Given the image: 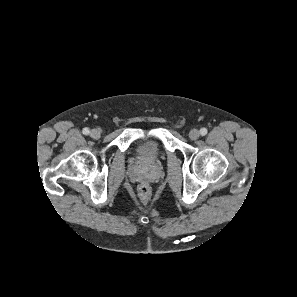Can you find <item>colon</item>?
Returning a JSON list of instances; mask_svg holds the SVG:
<instances>
[{
    "label": "colon",
    "instance_id": "5ec220e1",
    "mask_svg": "<svg viewBox=\"0 0 297 297\" xmlns=\"http://www.w3.org/2000/svg\"><path fill=\"white\" fill-rule=\"evenodd\" d=\"M139 196L141 200L147 201L151 196V189L148 185L143 184L139 188Z\"/></svg>",
    "mask_w": 297,
    "mask_h": 297
}]
</instances>
